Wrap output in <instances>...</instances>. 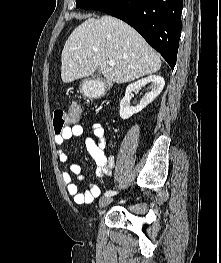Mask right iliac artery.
I'll use <instances>...</instances> for the list:
<instances>
[{
  "mask_svg": "<svg viewBox=\"0 0 221 263\" xmlns=\"http://www.w3.org/2000/svg\"><path fill=\"white\" fill-rule=\"evenodd\" d=\"M115 194H116L115 191L109 190V191H106L104 195H105V196H112V195H115Z\"/></svg>",
  "mask_w": 221,
  "mask_h": 263,
  "instance_id": "right-iliac-artery-1",
  "label": "right iliac artery"
}]
</instances>
